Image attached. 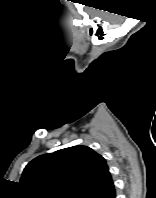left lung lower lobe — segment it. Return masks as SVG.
<instances>
[{"instance_id": "0a47b994", "label": "left lung lower lobe", "mask_w": 156, "mask_h": 198, "mask_svg": "<svg viewBox=\"0 0 156 198\" xmlns=\"http://www.w3.org/2000/svg\"><path fill=\"white\" fill-rule=\"evenodd\" d=\"M90 198H116L115 186L112 178L103 188L93 194Z\"/></svg>"}]
</instances>
